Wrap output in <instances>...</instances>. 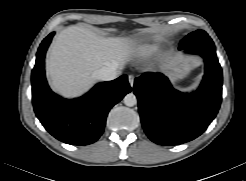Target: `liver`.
<instances>
[{
	"label": "liver",
	"mask_w": 246,
	"mask_h": 181,
	"mask_svg": "<svg viewBox=\"0 0 246 181\" xmlns=\"http://www.w3.org/2000/svg\"><path fill=\"white\" fill-rule=\"evenodd\" d=\"M133 41L103 38L78 26L62 30L54 40L46 67L52 88L73 98L85 93L94 83V72L103 66L121 69L133 51Z\"/></svg>",
	"instance_id": "6515ba94"
}]
</instances>
